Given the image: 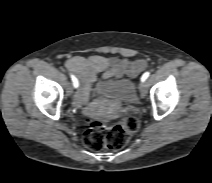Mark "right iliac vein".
I'll return each mask as SVG.
<instances>
[{
	"label": "right iliac vein",
	"mask_w": 212,
	"mask_h": 183,
	"mask_svg": "<svg viewBox=\"0 0 212 183\" xmlns=\"http://www.w3.org/2000/svg\"><path fill=\"white\" fill-rule=\"evenodd\" d=\"M72 92H73V88L71 86L68 87V90H67V93L68 95H72ZM79 92H76L75 93V96L78 94Z\"/></svg>",
	"instance_id": "right-iliac-vein-1"
}]
</instances>
